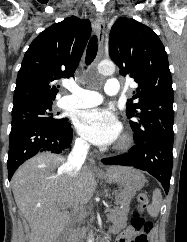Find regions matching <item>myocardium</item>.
I'll return each mask as SVG.
<instances>
[{
	"label": "myocardium",
	"instance_id": "1",
	"mask_svg": "<svg viewBox=\"0 0 187 242\" xmlns=\"http://www.w3.org/2000/svg\"><path fill=\"white\" fill-rule=\"evenodd\" d=\"M133 141L134 140H133L132 133L130 131H128V130H125L121 134L118 142L116 143L115 149L116 150H120V151L127 150V149H129L132 146Z\"/></svg>",
	"mask_w": 187,
	"mask_h": 242
}]
</instances>
